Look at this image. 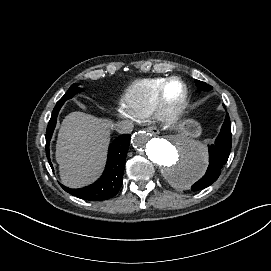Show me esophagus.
<instances>
[{
    "label": "esophagus",
    "instance_id": "1",
    "mask_svg": "<svg viewBox=\"0 0 271 271\" xmlns=\"http://www.w3.org/2000/svg\"><path fill=\"white\" fill-rule=\"evenodd\" d=\"M147 132L150 133L152 136H157L159 134V130L155 126L147 127Z\"/></svg>",
    "mask_w": 271,
    "mask_h": 271
}]
</instances>
